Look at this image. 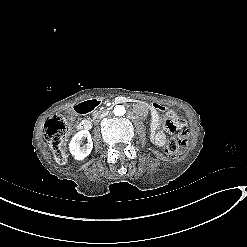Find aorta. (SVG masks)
<instances>
[{
    "label": "aorta",
    "mask_w": 247,
    "mask_h": 247,
    "mask_svg": "<svg viewBox=\"0 0 247 247\" xmlns=\"http://www.w3.org/2000/svg\"><path fill=\"white\" fill-rule=\"evenodd\" d=\"M113 113L116 116H123L126 113L125 107L122 105H117L115 106Z\"/></svg>",
    "instance_id": "obj_1"
}]
</instances>
